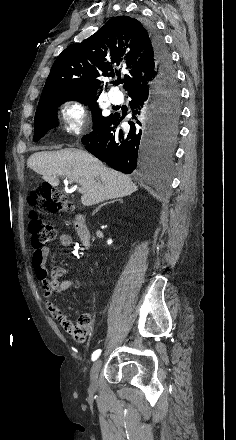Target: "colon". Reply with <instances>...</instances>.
<instances>
[{
    "instance_id": "1",
    "label": "colon",
    "mask_w": 236,
    "mask_h": 440,
    "mask_svg": "<svg viewBox=\"0 0 236 440\" xmlns=\"http://www.w3.org/2000/svg\"><path fill=\"white\" fill-rule=\"evenodd\" d=\"M30 203L32 205L41 203L52 213L70 210L72 208V203L66 199L60 191L52 188L48 183L41 184L32 192ZM29 232L31 245L34 248L44 246L45 243L55 237L54 227L48 224L37 211L30 213Z\"/></svg>"
}]
</instances>
